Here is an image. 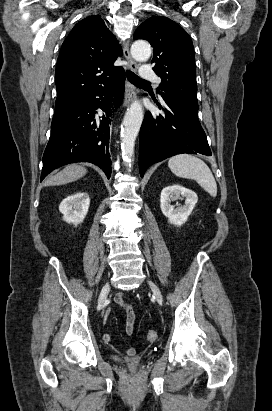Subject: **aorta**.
<instances>
[{
    "label": "aorta",
    "mask_w": 272,
    "mask_h": 411,
    "mask_svg": "<svg viewBox=\"0 0 272 411\" xmlns=\"http://www.w3.org/2000/svg\"><path fill=\"white\" fill-rule=\"evenodd\" d=\"M131 54L137 61H145L151 55V47L147 42L136 41L131 46ZM143 107L139 101H134L125 114L121 129L122 157L131 162L134 155V146L143 121Z\"/></svg>",
    "instance_id": "1"
}]
</instances>
